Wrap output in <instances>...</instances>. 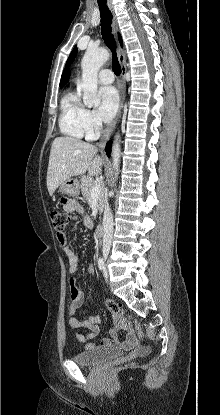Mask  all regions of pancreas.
I'll use <instances>...</instances> for the list:
<instances>
[{
	"label": "pancreas",
	"mask_w": 220,
	"mask_h": 415,
	"mask_svg": "<svg viewBox=\"0 0 220 415\" xmlns=\"http://www.w3.org/2000/svg\"><path fill=\"white\" fill-rule=\"evenodd\" d=\"M95 180H93L90 176H82L81 177V190H82V195L84 196V198L91 203L92 201V197H91V190L93 188V186L95 185ZM106 192L101 189L98 197H97V209L98 211L101 213L104 209V205L106 203Z\"/></svg>",
	"instance_id": "pancreas-1"
}]
</instances>
